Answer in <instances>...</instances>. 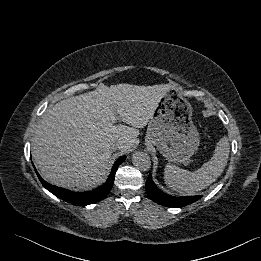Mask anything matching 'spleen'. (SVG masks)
I'll return each instance as SVG.
<instances>
[{"label":"spleen","instance_id":"spleen-1","mask_svg":"<svg viewBox=\"0 0 261 261\" xmlns=\"http://www.w3.org/2000/svg\"><path fill=\"white\" fill-rule=\"evenodd\" d=\"M229 152L228 138L222 137L211 159L194 172L167 164L164 171L165 183L173 191L183 195H193L211 185L222 174Z\"/></svg>","mask_w":261,"mask_h":261}]
</instances>
